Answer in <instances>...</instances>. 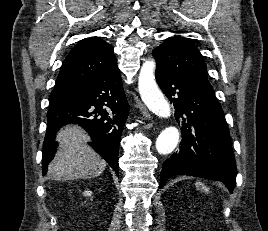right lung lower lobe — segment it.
<instances>
[{
    "label": "right lung lower lobe",
    "instance_id": "98d812e1",
    "mask_svg": "<svg viewBox=\"0 0 268 231\" xmlns=\"http://www.w3.org/2000/svg\"><path fill=\"white\" fill-rule=\"evenodd\" d=\"M77 96L50 107L43 143V174L57 148L55 134L67 123L81 125L91 136L89 143L118 174V150L129 112L117 62L77 88Z\"/></svg>",
    "mask_w": 268,
    "mask_h": 231
}]
</instances>
